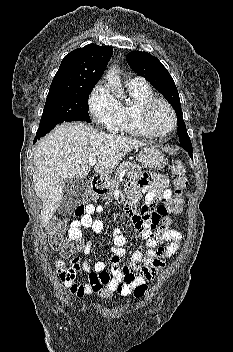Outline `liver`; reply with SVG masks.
I'll return each instance as SVG.
<instances>
[{
  "mask_svg": "<svg viewBox=\"0 0 233 352\" xmlns=\"http://www.w3.org/2000/svg\"><path fill=\"white\" fill-rule=\"evenodd\" d=\"M145 144L94 129L82 122L58 125L37 145L33 161V184L42 200V226H47L58 209L68 179L89 174L88 160L97 158L94 170L98 174L112 171L133 149Z\"/></svg>",
  "mask_w": 233,
  "mask_h": 352,
  "instance_id": "obj_1",
  "label": "liver"
}]
</instances>
